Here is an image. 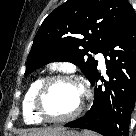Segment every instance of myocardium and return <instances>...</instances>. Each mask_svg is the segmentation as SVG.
Segmentation results:
<instances>
[{"instance_id":"myocardium-1","label":"myocardium","mask_w":136,"mask_h":136,"mask_svg":"<svg viewBox=\"0 0 136 136\" xmlns=\"http://www.w3.org/2000/svg\"><path fill=\"white\" fill-rule=\"evenodd\" d=\"M57 81H65V82H70L73 83L75 85H77L80 90H81V98H80V102L77 106V108L70 113L67 116L64 117H53L51 115H49L48 113H46V111L44 110L43 107V100L45 97V94L49 88V86ZM85 89L83 87V85L77 80L75 79L73 76L71 75H67V74H54L51 76H48L46 78L43 79V81L41 82V84L39 85L34 98H33V110L36 114V116L41 119L44 122H49V123H66L69 121L74 120L75 118H77L80 113L83 110L84 107V97H85Z\"/></svg>"}]
</instances>
